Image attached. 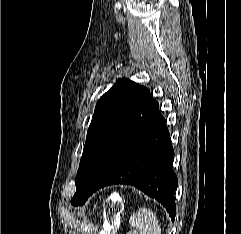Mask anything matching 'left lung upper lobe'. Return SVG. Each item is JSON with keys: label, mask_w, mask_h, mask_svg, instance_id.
Here are the masks:
<instances>
[{"label": "left lung upper lobe", "mask_w": 241, "mask_h": 234, "mask_svg": "<svg viewBox=\"0 0 241 234\" xmlns=\"http://www.w3.org/2000/svg\"><path fill=\"white\" fill-rule=\"evenodd\" d=\"M148 89L131 80L117 82L97 102L89 126L71 203L83 205L89 184L122 125Z\"/></svg>", "instance_id": "left-lung-upper-lobe-1"}]
</instances>
